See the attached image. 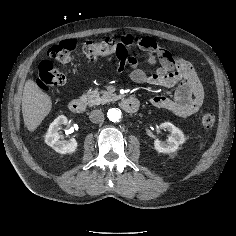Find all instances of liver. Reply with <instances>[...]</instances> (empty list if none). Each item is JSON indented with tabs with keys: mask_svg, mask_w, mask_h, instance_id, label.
<instances>
[{
	"mask_svg": "<svg viewBox=\"0 0 236 236\" xmlns=\"http://www.w3.org/2000/svg\"><path fill=\"white\" fill-rule=\"evenodd\" d=\"M52 109V100L31 79L24 85L22 114L26 128L33 132Z\"/></svg>",
	"mask_w": 236,
	"mask_h": 236,
	"instance_id": "obj_1",
	"label": "liver"
}]
</instances>
